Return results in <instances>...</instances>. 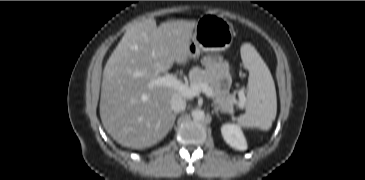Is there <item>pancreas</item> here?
Listing matches in <instances>:
<instances>
[{"mask_svg": "<svg viewBox=\"0 0 365 180\" xmlns=\"http://www.w3.org/2000/svg\"><path fill=\"white\" fill-rule=\"evenodd\" d=\"M190 84L206 83L212 90L214 102L224 112L232 113L235 99L229 94L228 90H222L220 87H215L211 84L210 77L207 72L200 67H193L189 71Z\"/></svg>", "mask_w": 365, "mask_h": 180, "instance_id": "obj_1", "label": "pancreas"}]
</instances>
